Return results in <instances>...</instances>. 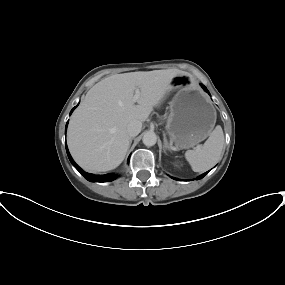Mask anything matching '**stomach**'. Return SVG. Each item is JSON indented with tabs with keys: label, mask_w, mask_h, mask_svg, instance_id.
Listing matches in <instances>:
<instances>
[{
	"label": "stomach",
	"mask_w": 285,
	"mask_h": 285,
	"mask_svg": "<svg viewBox=\"0 0 285 285\" xmlns=\"http://www.w3.org/2000/svg\"><path fill=\"white\" fill-rule=\"evenodd\" d=\"M171 85L177 93L170 102L166 132L173 149H188L210 135L216 110L209 97L194 88L189 77L177 76Z\"/></svg>",
	"instance_id": "stomach-1"
}]
</instances>
